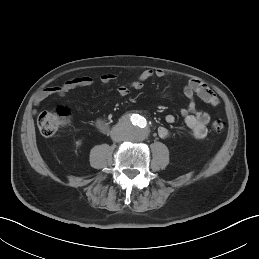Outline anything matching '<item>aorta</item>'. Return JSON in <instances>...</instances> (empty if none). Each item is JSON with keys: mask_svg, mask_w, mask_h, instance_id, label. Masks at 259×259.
Here are the masks:
<instances>
[{"mask_svg": "<svg viewBox=\"0 0 259 259\" xmlns=\"http://www.w3.org/2000/svg\"><path fill=\"white\" fill-rule=\"evenodd\" d=\"M126 137L131 141H142L148 136L146 120L141 116H129L125 120Z\"/></svg>", "mask_w": 259, "mask_h": 259, "instance_id": "762f6f07", "label": "aorta"}]
</instances>
